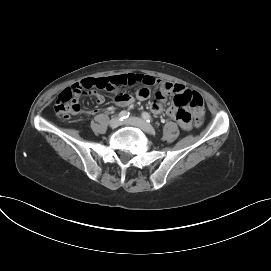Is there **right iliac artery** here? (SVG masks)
Instances as JSON below:
<instances>
[{
  "mask_svg": "<svg viewBox=\"0 0 271 271\" xmlns=\"http://www.w3.org/2000/svg\"><path fill=\"white\" fill-rule=\"evenodd\" d=\"M129 117V112H127V111H121L120 113H119V118H120V120H125L126 118H128Z\"/></svg>",
  "mask_w": 271,
  "mask_h": 271,
  "instance_id": "1",
  "label": "right iliac artery"
}]
</instances>
